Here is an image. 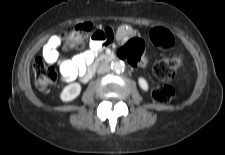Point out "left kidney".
Here are the masks:
<instances>
[{"instance_id":"obj_1","label":"left kidney","mask_w":225,"mask_h":155,"mask_svg":"<svg viewBox=\"0 0 225 155\" xmlns=\"http://www.w3.org/2000/svg\"><path fill=\"white\" fill-rule=\"evenodd\" d=\"M139 86L141 87L142 90L147 91L148 90V83L144 78H139L138 79Z\"/></svg>"}]
</instances>
